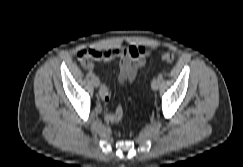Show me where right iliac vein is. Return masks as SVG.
I'll use <instances>...</instances> for the list:
<instances>
[{"label": "right iliac vein", "mask_w": 243, "mask_h": 167, "mask_svg": "<svg viewBox=\"0 0 243 167\" xmlns=\"http://www.w3.org/2000/svg\"><path fill=\"white\" fill-rule=\"evenodd\" d=\"M92 83H93L94 87H98L100 85V81L97 77L92 78Z\"/></svg>", "instance_id": "right-iliac-vein-1"}]
</instances>
